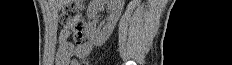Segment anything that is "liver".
<instances>
[{"label":"liver","instance_id":"6515ba94","mask_svg":"<svg viewBox=\"0 0 232 65\" xmlns=\"http://www.w3.org/2000/svg\"><path fill=\"white\" fill-rule=\"evenodd\" d=\"M73 0H52L50 3H56L57 7L61 8L64 4H67Z\"/></svg>","mask_w":232,"mask_h":65}]
</instances>
